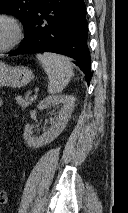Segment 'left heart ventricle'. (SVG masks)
Returning <instances> with one entry per match:
<instances>
[{"label":"left heart ventricle","mask_w":128,"mask_h":213,"mask_svg":"<svg viewBox=\"0 0 128 213\" xmlns=\"http://www.w3.org/2000/svg\"><path fill=\"white\" fill-rule=\"evenodd\" d=\"M12 29L10 25L3 20H0V47L9 43L12 38Z\"/></svg>","instance_id":"b2bd125f"}]
</instances>
